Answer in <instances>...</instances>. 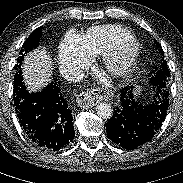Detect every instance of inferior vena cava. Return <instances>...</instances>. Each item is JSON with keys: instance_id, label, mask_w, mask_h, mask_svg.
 Wrapping results in <instances>:
<instances>
[{"instance_id": "602c4592", "label": "inferior vena cava", "mask_w": 183, "mask_h": 183, "mask_svg": "<svg viewBox=\"0 0 183 183\" xmlns=\"http://www.w3.org/2000/svg\"><path fill=\"white\" fill-rule=\"evenodd\" d=\"M63 77L68 81L77 82L84 76L83 70L76 65H67L61 71Z\"/></svg>"}]
</instances>
